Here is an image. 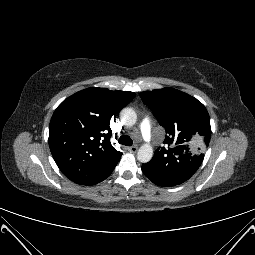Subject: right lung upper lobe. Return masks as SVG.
Masks as SVG:
<instances>
[{"label": "right lung upper lobe", "instance_id": "1", "mask_svg": "<svg viewBox=\"0 0 255 255\" xmlns=\"http://www.w3.org/2000/svg\"><path fill=\"white\" fill-rule=\"evenodd\" d=\"M135 93L88 88L65 99L49 127L53 158L71 181L94 185L114 170L122 153L110 143L111 117L129 104Z\"/></svg>", "mask_w": 255, "mask_h": 255}]
</instances>
